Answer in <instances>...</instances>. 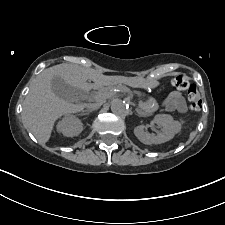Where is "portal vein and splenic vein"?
<instances>
[{"mask_svg": "<svg viewBox=\"0 0 225 225\" xmlns=\"http://www.w3.org/2000/svg\"><path fill=\"white\" fill-rule=\"evenodd\" d=\"M139 107H140V108L142 107V104H141V102L139 103Z\"/></svg>", "mask_w": 225, "mask_h": 225, "instance_id": "1", "label": "portal vein and splenic vein"}]
</instances>
